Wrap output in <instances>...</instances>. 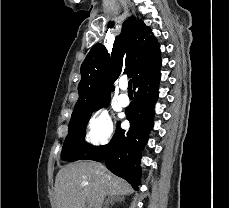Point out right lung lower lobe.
<instances>
[{"mask_svg": "<svg viewBox=\"0 0 229 208\" xmlns=\"http://www.w3.org/2000/svg\"><path fill=\"white\" fill-rule=\"evenodd\" d=\"M160 67L134 86V101L126 108V117L130 122L128 131L117 125L111 142L104 146L93 147L81 159L102 161L117 176L126 179L135 190L140 184L141 152L153 127L154 107L158 97Z\"/></svg>", "mask_w": 229, "mask_h": 208, "instance_id": "right-lung-lower-lobe-1", "label": "right lung lower lobe"}]
</instances>
